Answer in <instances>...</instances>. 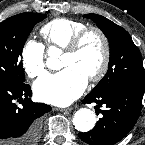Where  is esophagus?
Wrapping results in <instances>:
<instances>
[{"label":"esophagus","mask_w":145,"mask_h":145,"mask_svg":"<svg viewBox=\"0 0 145 145\" xmlns=\"http://www.w3.org/2000/svg\"><path fill=\"white\" fill-rule=\"evenodd\" d=\"M58 110L61 111V112H68V111H72L73 108L72 107H69V108H59Z\"/></svg>","instance_id":"esophagus-1"}]
</instances>
